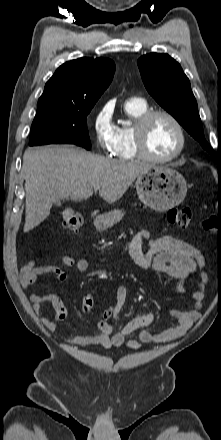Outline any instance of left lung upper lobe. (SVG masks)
<instances>
[{
  "mask_svg": "<svg viewBox=\"0 0 221 440\" xmlns=\"http://www.w3.org/2000/svg\"><path fill=\"white\" fill-rule=\"evenodd\" d=\"M137 63L149 94L214 156L204 137L190 81L179 63L164 53L144 55Z\"/></svg>",
  "mask_w": 221,
  "mask_h": 440,
  "instance_id": "1",
  "label": "left lung upper lobe"
}]
</instances>
